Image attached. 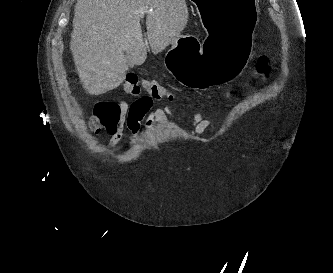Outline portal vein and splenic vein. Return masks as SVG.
<instances>
[{
    "label": "portal vein and splenic vein",
    "mask_w": 333,
    "mask_h": 273,
    "mask_svg": "<svg viewBox=\"0 0 333 273\" xmlns=\"http://www.w3.org/2000/svg\"><path fill=\"white\" fill-rule=\"evenodd\" d=\"M146 11H147V7H142V8L139 10V13L143 15ZM150 11H152V9H150Z\"/></svg>",
    "instance_id": "18ae733b"
}]
</instances>
